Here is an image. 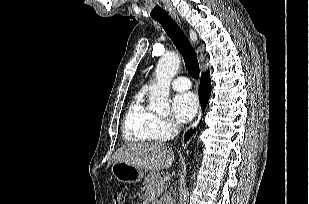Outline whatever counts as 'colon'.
Masks as SVG:
<instances>
[{"mask_svg":"<svg viewBox=\"0 0 309 204\" xmlns=\"http://www.w3.org/2000/svg\"><path fill=\"white\" fill-rule=\"evenodd\" d=\"M113 202L114 204H123V195L120 192H115L113 194Z\"/></svg>","mask_w":309,"mask_h":204,"instance_id":"obj_1","label":"colon"}]
</instances>
